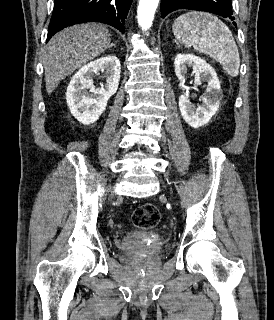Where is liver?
I'll return each mask as SVG.
<instances>
[{"label":"liver","instance_id":"1","mask_svg":"<svg viewBox=\"0 0 274 320\" xmlns=\"http://www.w3.org/2000/svg\"><path fill=\"white\" fill-rule=\"evenodd\" d=\"M111 34L103 24H77L51 38L45 48V88L52 94L58 84L111 46Z\"/></svg>","mask_w":274,"mask_h":320}]
</instances>
